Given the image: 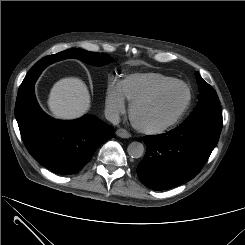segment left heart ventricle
Wrapping results in <instances>:
<instances>
[{
  "mask_svg": "<svg viewBox=\"0 0 245 245\" xmlns=\"http://www.w3.org/2000/svg\"><path fill=\"white\" fill-rule=\"evenodd\" d=\"M186 99V88L182 85H175L155 100L142 105L137 110V119L145 126H161L178 114Z\"/></svg>",
  "mask_w": 245,
  "mask_h": 245,
  "instance_id": "obj_1",
  "label": "left heart ventricle"
}]
</instances>
